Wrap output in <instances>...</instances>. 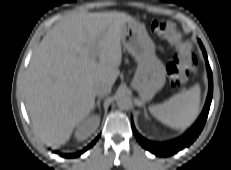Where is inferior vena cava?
Returning a JSON list of instances; mask_svg holds the SVG:
<instances>
[{"mask_svg":"<svg viewBox=\"0 0 231 170\" xmlns=\"http://www.w3.org/2000/svg\"><path fill=\"white\" fill-rule=\"evenodd\" d=\"M94 92L97 96L103 97L111 92V85L104 81L98 82L94 86Z\"/></svg>","mask_w":231,"mask_h":170,"instance_id":"obj_1","label":"inferior vena cava"}]
</instances>
